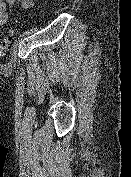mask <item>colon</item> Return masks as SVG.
Masks as SVG:
<instances>
[{"label": "colon", "mask_w": 131, "mask_h": 177, "mask_svg": "<svg viewBox=\"0 0 131 177\" xmlns=\"http://www.w3.org/2000/svg\"><path fill=\"white\" fill-rule=\"evenodd\" d=\"M14 31H9L0 41V58L3 57L14 39Z\"/></svg>", "instance_id": "1"}]
</instances>
